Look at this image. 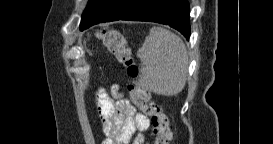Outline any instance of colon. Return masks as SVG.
<instances>
[{"label":"colon","mask_w":273,"mask_h":144,"mask_svg":"<svg viewBox=\"0 0 273 144\" xmlns=\"http://www.w3.org/2000/svg\"><path fill=\"white\" fill-rule=\"evenodd\" d=\"M103 39L110 53L127 68L131 83L128 85L132 102L150 118L153 144H169L171 132L169 120L162 107L152 98L150 92L135 80L139 68L134 62L132 50L125 36L117 29H110L103 34Z\"/></svg>","instance_id":"obj_1"}]
</instances>
